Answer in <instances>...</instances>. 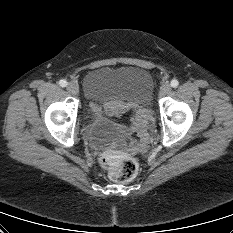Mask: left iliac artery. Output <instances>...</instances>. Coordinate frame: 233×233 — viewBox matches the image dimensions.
Segmentation results:
<instances>
[{"label":"left iliac artery","mask_w":233,"mask_h":233,"mask_svg":"<svg viewBox=\"0 0 233 233\" xmlns=\"http://www.w3.org/2000/svg\"><path fill=\"white\" fill-rule=\"evenodd\" d=\"M171 86L173 87V88H176L178 85H179V82H178V80H176V79H173L172 81H171Z\"/></svg>","instance_id":"44dca946"}]
</instances>
